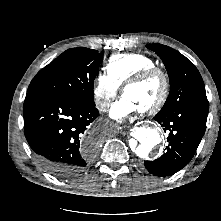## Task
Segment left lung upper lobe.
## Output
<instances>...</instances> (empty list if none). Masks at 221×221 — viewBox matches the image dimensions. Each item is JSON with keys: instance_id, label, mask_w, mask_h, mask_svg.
<instances>
[{"instance_id": "left-lung-upper-lobe-1", "label": "left lung upper lobe", "mask_w": 221, "mask_h": 221, "mask_svg": "<svg viewBox=\"0 0 221 221\" xmlns=\"http://www.w3.org/2000/svg\"><path fill=\"white\" fill-rule=\"evenodd\" d=\"M146 47L162 59L170 80V93L159 113L176 110L186 104L208 107L202 77L189 59L162 44H148Z\"/></svg>"}]
</instances>
